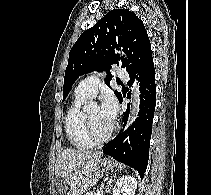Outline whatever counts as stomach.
<instances>
[{
	"instance_id": "stomach-1",
	"label": "stomach",
	"mask_w": 211,
	"mask_h": 195,
	"mask_svg": "<svg viewBox=\"0 0 211 195\" xmlns=\"http://www.w3.org/2000/svg\"><path fill=\"white\" fill-rule=\"evenodd\" d=\"M114 166H117L120 168L122 167L120 164L113 163L111 160L103 159V160L99 161V164L96 167L95 171L92 172L89 176V183L95 184L97 182L98 178L100 177V167L107 169V170H112L114 168ZM63 184H64V182H62V181H58L56 183V185H63ZM83 193H80L78 195H83ZM61 195H64V194H61Z\"/></svg>"
}]
</instances>
